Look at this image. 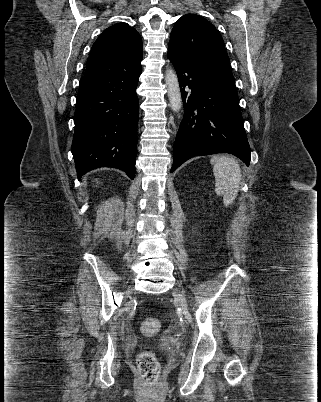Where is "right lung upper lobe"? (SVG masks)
Segmentation results:
<instances>
[{
  "label": "right lung upper lobe",
  "mask_w": 321,
  "mask_h": 402,
  "mask_svg": "<svg viewBox=\"0 0 321 402\" xmlns=\"http://www.w3.org/2000/svg\"><path fill=\"white\" fill-rule=\"evenodd\" d=\"M142 48L141 37L133 27L115 24L104 30L93 44L84 75L140 70Z\"/></svg>",
  "instance_id": "right-lung-upper-lobe-1"
}]
</instances>
